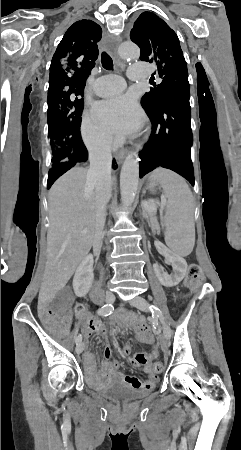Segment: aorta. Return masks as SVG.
<instances>
[{
  "label": "aorta",
  "mask_w": 241,
  "mask_h": 450,
  "mask_svg": "<svg viewBox=\"0 0 241 450\" xmlns=\"http://www.w3.org/2000/svg\"><path fill=\"white\" fill-rule=\"evenodd\" d=\"M119 54L124 59H138L140 49L133 43H123L119 47ZM139 184V163L136 155L129 154L121 168L120 193L124 206H130L135 200Z\"/></svg>",
  "instance_id": "762f6f07"
}]
</instances>
